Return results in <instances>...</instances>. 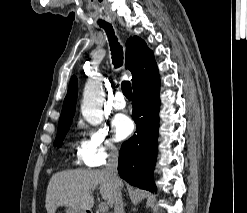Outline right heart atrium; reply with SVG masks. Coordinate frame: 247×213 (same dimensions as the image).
<instances>
[{"mask_svg": "<svg viewBox=\"0 0 247 213\" xmlns=\"http://www.w3.org/2000/svg\"><path fill=\"white\" fill-rule=\"evenodd\" d=\"M118 148L106 127L88 128L78 148V159L89 167H100L116 157Z\"/></svg>", "mask_w": 247, "mask_h": 213, "instance_id": "d8ad5b80", "label": "right heart atrium"}]
</instances>
